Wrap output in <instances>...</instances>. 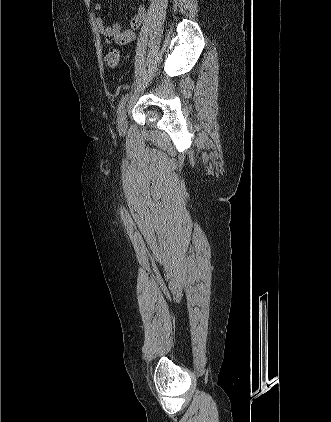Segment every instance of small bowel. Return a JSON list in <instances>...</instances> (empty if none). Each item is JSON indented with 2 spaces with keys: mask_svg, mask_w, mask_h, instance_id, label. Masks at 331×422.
<instances>
[{
  "mask_svg": "<svg viewBox=\"0 0 331 422\" xmlns=\"http://www.w3.org/2000/svg\"><path fill=\"white\" fill-rule=\"evenodd\" d=\"M146 1L147 0H140V5L137 6L135 12L129 18L128 26L125 28L119 21L108 26L102 17L98 16L96 18L95 23L97 31L104 36L106 44L115 42L117 45H127L134 40L135 31L139 28L145 15L146 9L144 3ZM94 8L99 11L102 8V4L96 3Z\"/></svg>",
  "mask_w": 331,
  "mask_h": 422,
  "instance_id": "c3829d8e",
  "label": "small bowel"
}]
</instances>
